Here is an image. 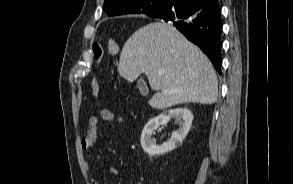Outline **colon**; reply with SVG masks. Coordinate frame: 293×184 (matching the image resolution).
<instances>
[{
	"label": "colon",
	"instance_id": "5ec220e1",
	"mask_svg": "<svg viewBox=\"0 0 293 184\" xmlns=\"http://www.w3.org/2000/svg\"><path fill=\"white\" fill-rule=\"evenodd\" d=\"M92 56L96 67L98 68L102 62L104 52L107 50L111 55H118L119 46L114 40H103L97 38L92 44ZM99 81L98 77L95 75L91 81V92L92 96L96 97L99 93Z\"/></svg>",
	"mask_w": 293,
	"mask_h": 184
}]
</instances>
